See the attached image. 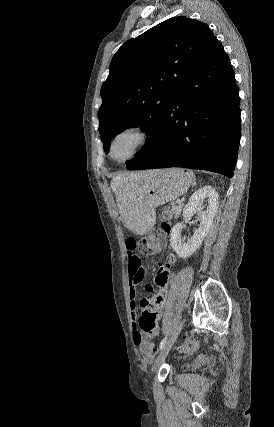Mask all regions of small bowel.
<instances>
[{
	"instance_id": "obj_1",
	"label": "small bowel",
	"mask_w": 274,
	"mask_h": 427,
	"mask_svg": "<svg viewBox=\"0 0 274 427\" xmlns=\"http://www.w3.org/2000/svg\"><path fill=\"white\" fill-rule=\"evenodd\" d=\"M134 246L126 245L125 251L132 252L134 251ZM129 259L132 262L128 266L129 271V297H130V307L131 313L134 317L137 310V284L148 275V267L144 264H138L141 261V258L136 254L132 253L129 256ZM175 262V255L169 253L163 265H158L153 271V277L151 280H148L146 286L149 293H141L139 295L140 307L142 310H151V311H141L140 318L137 319V326L142 327V333L136 329L134 325V342L141 347L145 342L146 338H152L153 336L160 335V324L157 323V320L162 319V313L164 312L163 301L165 300L168 294L167 283L172 282V277L169 276V267H171ZM158 284V285H157ZM161 298L162 301H158ZM148 359V358H147ZM149 360V359H148Z\"/></svg>"
}]
</instances>
